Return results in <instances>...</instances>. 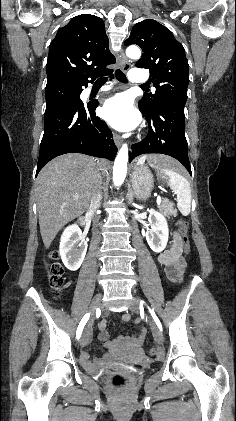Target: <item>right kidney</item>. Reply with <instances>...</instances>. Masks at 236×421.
<instances>
[{
    "instance_id": "ca27d5eb",
    "label": "right kidney",
    "mask_w": 236,
    "mask_h": 421,
    "mask_svg": "<svg viewBox=\"0 0 236 421\" xmlns=\"http://www.w3.org/2000/svg\"><path fill=\"white\" fill-rule=\"evenodd\" d=\"M87 243L82 235L81 229L77 225H70L61 235L59 247L60 257L63 265L69 271H78L86 255Z\"/></svg>"
}]
</instances>
